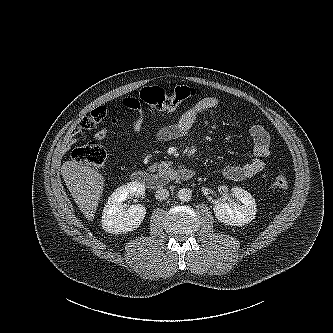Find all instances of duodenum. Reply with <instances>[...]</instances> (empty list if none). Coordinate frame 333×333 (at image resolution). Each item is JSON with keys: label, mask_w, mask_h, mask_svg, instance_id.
I'll return each instance as SVG.
<instances>
[{"label": "duodenum", "mask_w": 333, "mask_h": 333, "mask_svg": "<svg viewBox=\"0 0 333 333\" xmlns=\"http://www.w3.org/2000/svg\"><path fill=\"white\" fill-rule=\"evenodd\" d=\"M194 176L192 169L182 167L159 173L137 170L132 173V180L150 189H161L171 181H189Z\"/></svg>", "instance_id": "1"}]
</instances>
